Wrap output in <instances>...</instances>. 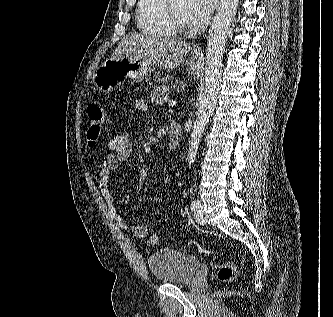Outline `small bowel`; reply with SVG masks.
Wrapping results in <instances>:
<instances>
[{"instance_id":"1","label":"small bowel","mask_w":333,"mask_h":317,"mask_svg":"<svg viewBox=\"0 0 333 317\" xmlns=\"http://www.w3.org/2000/svg\"><path fill=\"white\" fill-rule=\"evenodd\" d=\"M147 103L142 99H137L133 104V113L140 114L146 111ZM109 153L103 158L99 171V190L106 202L108 209L115 223L123 230L130 231L135 237L143 238L149 233V223H136L129 225L123 216L117 210L113 194L110 190L109 181L111 174L119 168V166L128 161L133 151V145L129 132L118 134L106 143ZM169 182V176L164 175L161 190L164 191Z\"/></svg>"}]
</instances>
